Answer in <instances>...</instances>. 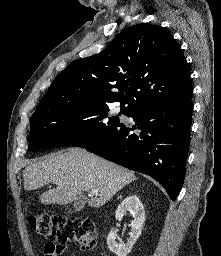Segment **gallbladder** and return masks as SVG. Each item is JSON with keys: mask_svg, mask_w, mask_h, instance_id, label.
I'll list each match as a JSON object with an SVG mask.
<instances>
[{"mask_svg": "<svg viewBox=\"0 0 221 256\" xmlns=\"http://www.w3.org/2000/svg\"><path fill=\"white\" fill-rule=\"evenodd\" d=\"M86 200L87 198L85 196L78 197L73 204L74 212L81 211L85 206ZM70 212L71 209H69L68 213Z\"/></svg>", "mask_w": 221, "mask_h": 256, "instance_id": "1", "label": "gallbladder"}]
</instances>
